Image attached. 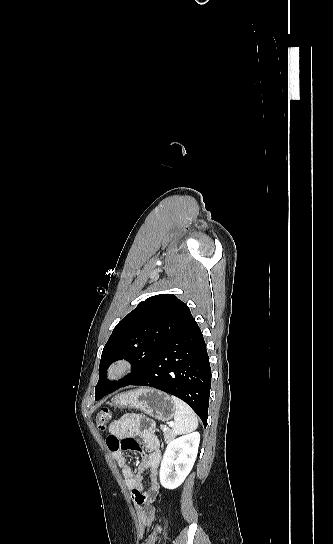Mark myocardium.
Listing matches in <instances>:
<instances>
[{
  "instance_id": "1",
  "label": "myocardium",
  "mask_w": 333,
  "mask_h": 544,
  "mask_svg": "<svg viewBox=\"0 0 333 544\" xmlns=\"http://www.w3.org/2000/svg\"><path fill=\"white\" fill-rule=\"evenodd\" d=\"M133 365L128 359H117L109 364L106 369V379L117 382L124 379L132 371Z\"/></svg>"
}]
</instances>
